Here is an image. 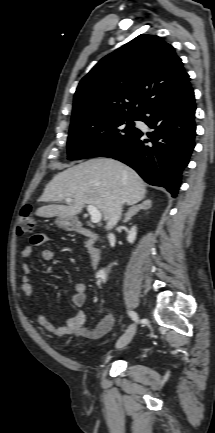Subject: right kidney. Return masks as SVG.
I'll return each mask as SVG.
<instances>
[{
	"mask_svg": "<svg viewBox=\"0 0 215 433\" xmlns=\"http://www.w3.org/2000/svg\"><path fill=\"white\" fill-rule=\"evenodd\" d=\"M136 234H137V232H136V227L133 226V227L131 228V230L128 232V236H127V240H128L129 243H133V242L135 241V239H136ZM96 278H98L100 281L105 282V281H106V278H107L106 271H105L104 269L99 270V271L97 272V274H96Z\"/></svg>",
	"mask_w": 215,
	"mask_h": 433,
	"instance_id": "right-kidney-1",
	"label": "right kidney"
}]
</instances>
